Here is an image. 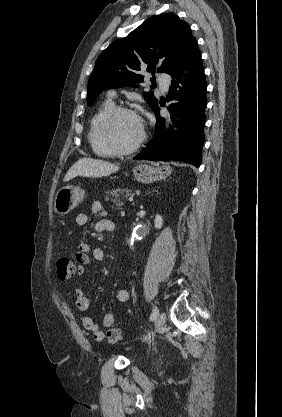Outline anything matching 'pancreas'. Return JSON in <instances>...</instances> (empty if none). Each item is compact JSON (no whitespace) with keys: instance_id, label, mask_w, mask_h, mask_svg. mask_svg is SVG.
Instances as JSON below:
<instances>
[{"instance_id":"cf45deb5","label":"pancreas","mask_w":282,"mask_h":417,"mask_svg":"<svg viewBox=\"0 0 282 417\" xmlns=\"http://www.w3.org/2000/svg\"><path fill=\"white\" fill-rule=\"evenodd\" d=\"M130 194H133V192L129 188H112V190H107L105 200H111V202H115L118 206H122L124 204L123 198H128Z\"/></svg>"}]
</instances>
